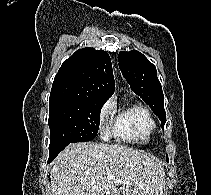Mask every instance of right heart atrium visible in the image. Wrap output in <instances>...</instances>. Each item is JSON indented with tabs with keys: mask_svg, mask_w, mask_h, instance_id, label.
Segmentation results:
<instances>
[{
	"mask_svg": "<svg viewBox=\"0 0 211 195\" xmlns=\"http://www.w3.org/2000/svg\"><path fill=\"white\" fill-rule=\"evenodd\" d=\"M110 111H111V107L108 104H106L102 107L101 112H100V125H101L104 135H106L107 133L105 130V123Z\"/></svg>",
	"mask_w": 211,
	"mask_h": 195,
	"instance_id": "d8ad5b80",
	"label": "right heart atrium"
}]
</instances>
